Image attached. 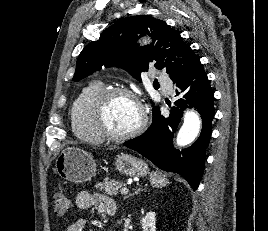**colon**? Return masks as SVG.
<instances>
[{"label":"colon","mask_w":268,"mask_h":231,"mask_svg":"<svg viewBox=\"0 0 268 231\" xmlns=\"http://www.w3.org/2000/svg\"><path fill=\"white\" fill-rule=\"evenodd\" d=\"M53 203L57 215H63L70 207V199L62 192H57L54 195Z\"/></svg>","instance_id":"colon-1"}]
</instances>
